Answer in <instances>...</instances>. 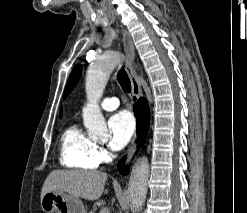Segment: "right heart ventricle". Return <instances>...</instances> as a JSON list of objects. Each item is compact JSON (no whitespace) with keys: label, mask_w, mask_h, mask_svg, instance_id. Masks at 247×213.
<instances>
[{"label":"right heart ventricle","mask_w":247,"mask_h":213,"mask_svg":"<svg viewBox=\"0 0 247 213\" xmlns=\"http://www.w3.org/2000/svg\"><path fill=\"white\" fill-rule=\"evenodd\" d=\"M95 142L77 124L69 125L60 138V162L68 168L95 169Z\"/></svg>","instance_id":"right-heart-ventricle-1"}]
</instances>
